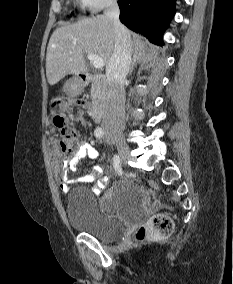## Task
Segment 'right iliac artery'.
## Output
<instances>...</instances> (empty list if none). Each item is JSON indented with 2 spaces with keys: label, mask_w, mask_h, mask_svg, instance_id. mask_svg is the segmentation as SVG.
Segmentation results:
<instances>
[{
  "label": "right iliac artery",
  "mask_w": 233,
  "mask_h": 284,
  "mask_svg": "<svg viewBox=\"0 0 233 284\" xmlns=\"http://www.w3.org/2000/svg\"><path fill=\"white\" fill-rule=\"evenodd\" d=\"M94 134L97 138H102L104 136V130L102 128H96L94 131ZM118 157V156H116ZM115 168H121V167H115Z\"/></svg>",
  "instance_id": "1"
}]
</instances>
